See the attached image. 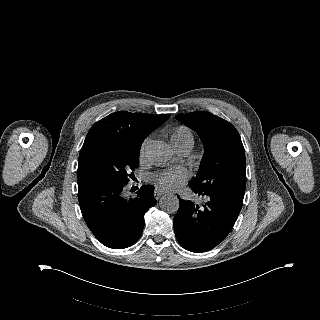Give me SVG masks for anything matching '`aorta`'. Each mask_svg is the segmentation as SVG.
I'll return each mask as SVG.
<instances>
[{"label":"aorta","mask_w":320,"mask_h":320,"mask_svg":"<svg viewBox=\"0 0 320 320\" xmlns=\"http://www.w3.org/2000/svg\"><path fill=\"white\" fill-rule=\"evenodd\" d=\"M146 155L153 164L163 166L170 160L171 150L165 142L155 141L147 147ZM160 207L167 213H175L179 208V199L172 194L164 195L160 199Z\"/></svg>","instance_id":"aorta-1"}]
</instances>
